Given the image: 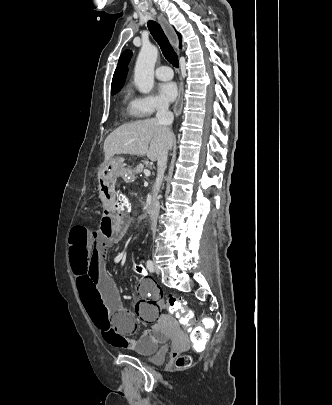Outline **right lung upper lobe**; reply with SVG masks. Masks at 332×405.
I'll use <instances>...</instances> for the list:
<instances>
[{"label": "right lung upper lobe", "mask_w": 332, "mask_h": 405, "mask_svg": "<svg viewBox=\"0 0 332 405\" xmlns=\"http://www.w3.org/2000/svg\"><path fill=\"white\" fill-rule=\"evenodd\" d=\"M177 34H178V37H179L180 48H181V35L179 33H177ZM131 56H132V52L130 50L124 51L122 53V55L120 56L117 68L115 70V73H114V76H113V79H112L111 88L115 87V86H117V85H119L121 83H124L127 72H128L127 65H128V63L130 61Z\"/></svg>", "instance_id": "right-lung-upper-lobe-1"}]
</instances>
